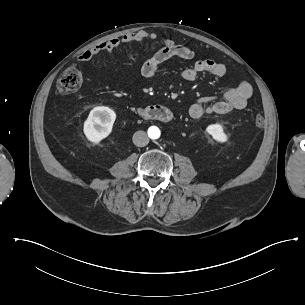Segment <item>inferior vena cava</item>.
Wrapping results in <instances>:
<instances>
[{
	"label": "inferior vena cava",
	"mask_w": 305,
	"mask_h": 305,
	"mask_svg": "<svg viewBox=\"0 0 305 305\" xmlns=\"http://www.w3.org/2000/svg\"><path fill=\"white\" fill-rule=\"evenodd\" d=\"M133 143L138 147H144L149 143V138L144 131H137L133 135Z\"/></svg>",
	"instance_id": "602c4592"
}]
</instances>
